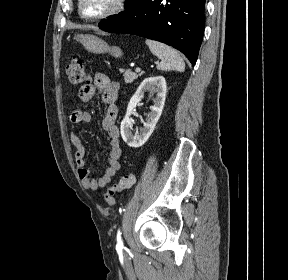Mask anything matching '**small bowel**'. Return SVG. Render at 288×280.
<instances>
[{"mask_svg": "<svg viewBox=\"0 0 288 280\" xmlns=\"http://www.w3.org/2000/svg\"><path fill=\"white\" fill-rule=\"evenodd\" d=\"M119 84L112 81L103 73L94 75L93 83L83 85L79 90V97L83 102L90 101L97 91L102 95L103 102L107 105L104 117L102 119V128L108 136V167L103 175L97 179L91 178L90 171L87 168L85 147L75 133H71V143L75 147V161L77 166V175L81 180L83 188L87 190H98L105 187L121 168V147H120V132L116 125L118 108L116 99L118 95ZM91 114L88 111L76 109L70 114V121L74 126L88 123L91 121Z\"/></svg>", "mask_w": 288, "mask_h": 280, "instance_id": "small-bowel-1", "label": "small bowel"}]
</instances>
